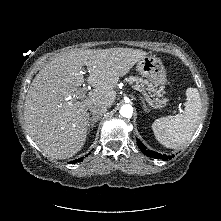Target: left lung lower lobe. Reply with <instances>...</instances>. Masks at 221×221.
<instances>
[{
	"mask_svg": "<svg viewBox=\"0 0 221 221\" xmlns=\"http://www.w3.org/2000/svg\"><path fill=\"white\" fill-rule=\"evenodd\" d=\"M137 145L141 149V151L149 157L155 159H163V160L171 159V156L161 155L160 153L148 150L138 139H137Z\"/></svg>",
	"mask_w": 221,
	"mask_h": 221,
	"instance_id": "1",
	"label": "left lung lower lobe"
}]
</instances>
